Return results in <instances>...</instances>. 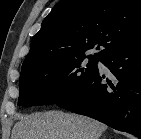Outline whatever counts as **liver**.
Segmentation results:
<instances>
[{
  "label": "liver",
  "instance_id": "6515ba94",
  "mask_svg": "<svg viewBox=\"0 0 141 139\" xmlns=\"http://www.w3.org/2000/svg\"><path fill=\"white\" fill-rule=\"evenodd\" d=\"M106 129L92 118L52 110L21 115L11 139H99Z\"/></svg>",
  "mask_w": 141,
  "mask_h": 139
}]
</instances>
